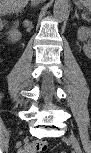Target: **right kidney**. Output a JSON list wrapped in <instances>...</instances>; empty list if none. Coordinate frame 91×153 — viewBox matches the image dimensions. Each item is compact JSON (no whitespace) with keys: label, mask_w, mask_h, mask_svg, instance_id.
I'll return each instance as SVG.
<instances>
[{"label":"right kidney","mask_w":91,"mask_h":153,"mask_svg":"<svg viewBox=\"0 0 91 153\" xmlns=\"http://www.w3.org/2000/svg\"><path fill=\"white\" fill-rule=\"evenodd\" d=\"M18 22L15 23V27L9 32V40L11 42H17L21 38V33L17 31Z\"/></svg>","instance_id":"obj_1"}]
</instances>
